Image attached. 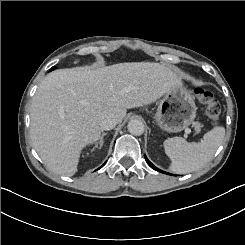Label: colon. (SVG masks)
Listing matches in <instances>:
<instances>
[{
    "label": "colon",
    "instance_id": "5ec220e1",
    "mask_svg": "<svg viewBox=\"0 0 245 245\" xmlns=\"http://www.w3.org/2000/svg\"><path fill=\"white\" fill-rule=\"evenodd\" d=\"M195 95L198 101L204 106L206 116L213 123H217L221 114V107L213 94L204 88L198 87L195 89Z\"/></svg>",
    "mask_w": 245,
    "mask_h": 245
}]
</instances>
